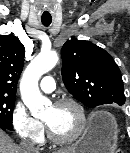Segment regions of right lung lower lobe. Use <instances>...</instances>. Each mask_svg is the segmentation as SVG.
Segmentation results:
<instances>
[{
	"mask_svg": "<svg viewBox=\"0 0 130 153\" xmlns=\"http://www.w3.org/2000/svg\"><path fill=\"white\" fill-rule=\"evenodd\" d=\"M0 128L3 129V130H5V131L8 130V129H6V128H5L4 126H2V125H0Z\"/></svg>",
	"mask_w": 130,
	"mask_h": 153,
	"instance_id": "98d812e1",
	"label": "right lung lower lobe"
}]
</instances>
